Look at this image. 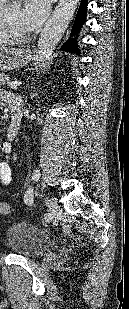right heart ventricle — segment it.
Here are the masks:
<instances>
[{"instance_id":"right-heart-ventricle-1","label":"right heart ventricle","mask_w":129,"mask_h":309,"mask_svg":"<svg viewBox=\"0 0 129 309\" xmlns=\"http://www.w3.org/2000/svg\"><path fill=\"white\" fill-rule=\"evenodd\" d=\"M2 2L3 0H0V14H1V6H2ZM10 37L8 36H5L3 33H2V30H1V22H0V43L2 42H7L9 40Z\"/></svg>"}]
</instances>
